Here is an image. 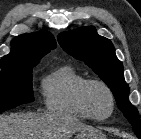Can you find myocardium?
Wrapping results in <instances>:
<instances>
[{
  "label": "myocardium",
  "mask_w": 141,
  "mask_h": 139,
  "mask_svg": "<svg viewBox=\"0 0 141 139\" xmlns=\"http://www.w3.org/2000/svg\"><path fill=\"white\" fill-rule=\"evenodd\" d=\"M92 86L101 87L102 89H104L106 91V93L109 96V99H110V111L105 116H97V115H95L92 112L91 108H90L89 101H88V91ZM78 99H79L81 107L83 108L85 113L88 115V117L90 119H92V120L104 121V120H107L108 118H110L112 116V114L114 113V110H115V96H114V93H113L112 89L109 87V85L106 84L102 80L86 79L79 88Z\"/></svg>",
  "instance_id": "f54148a6"
}]
</instances>
